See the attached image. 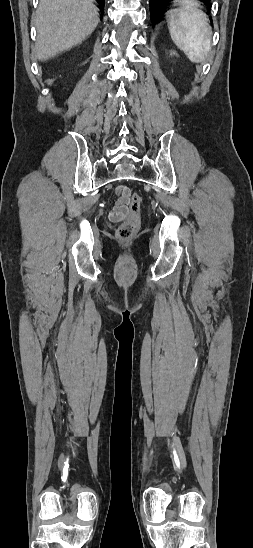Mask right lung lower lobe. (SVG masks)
<instances>
[{
    "instance_id": "98d812e1",
    "label": "right lung lower lobe",
    "mask_w": 253,
    "mask_h": 548,
    "mask_svg": "<svg viewBox=\"0 0 253 548\" xmlns=\"http://www.w3.org/2000/svg\"><path fill=\"white\" fill-rule=\"evenodd\" d=\"M104 1L105 0H97V2L100 4V7L103 9L104 8Z\"/></svg>"
}]
</instances>
